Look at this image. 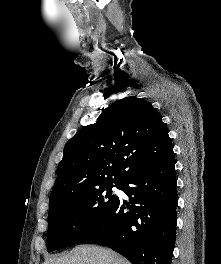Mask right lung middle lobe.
Here are the masks:
<instances>
[{
    "label": "right lung middle lobe",
    "mask_w": 221,
    "mask_h": 264,
    "mask_svg": "<svg viewBox=\"0 0 221 264\" xmlns=\"http://www.w3.org/2000/svg\"><path fill=\"white\" fill-rule=\"evenodd\" d=\"M109 183L72 194L60 201L48 214V252L80 243L108 215L119 198Z\"/></svg>",
    "instance_id": "dd1d6c3e"
}]
</instances>
